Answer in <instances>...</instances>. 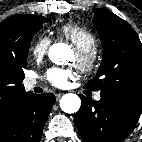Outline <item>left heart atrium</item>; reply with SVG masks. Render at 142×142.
<instances>
[{"instance_id":"obj_1","label":"left heart atrium","mask_w":142,"mask_h":142,"mask_svg":"<svg viewBox=\"0 0 142 142\" xmlns=\"http://www.w3.org/2000/svg\"><path fill=\"white\" fill-rule=\"evenodd\" d=\"M73 78L74 73L71 68L54 67L47 72V80L57 88H66Z\"/></svg>"}]
</instances>
